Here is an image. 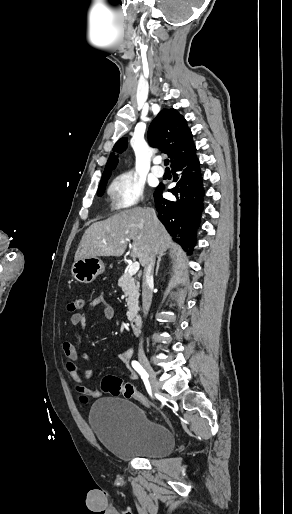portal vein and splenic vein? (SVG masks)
Listing matches in <instances>:
<instances>
[{"mask_svg": "<svg viewBox=\"0 0 292 514\" xmlns=\"http://www.w3.org/2000/svg\"><path fill=\"white\" fill-rule=\"evenodd\" d=\"M122 244H123V242H122ZM139 268H140L139 262H134V264H131V266L128 270L129 276H134V274H136V272H138Z\"/></svg>", "mask_w": 292, "mask_h": 514, "instance_id": "18ae733b", "label": "portal vein and splenic vein"}]
</instances>
